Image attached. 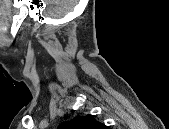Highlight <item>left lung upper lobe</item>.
<instances>
[{"instance_id":"1","label":"left lung upper lobe","mask_w":169,"mask_h":129,"mask_svg":"<svg viewBox=\"0 0 169 129\" xmlns=\"http://www.w3.org/2000/svg\"><path fill=\"white\" fill-rule=\"evenodd\" d=\"M59 129H104L105 125L96 121L92 115L77 116L60 124Z\"/></svg>"}]
</instances>
